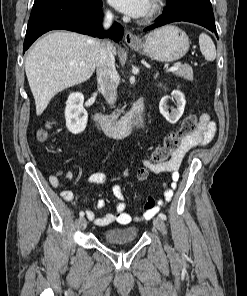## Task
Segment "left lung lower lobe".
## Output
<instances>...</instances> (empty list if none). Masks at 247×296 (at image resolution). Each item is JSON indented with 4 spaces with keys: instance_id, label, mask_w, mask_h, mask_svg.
<instances>
[{
    "instance_id": "obj_1",
    "label": "left lung lower lobe",
    "mask_w": 247,
    "mask_h": 296,
    "mask_svg": "<svg viewBox=\"0 0 247 296\" xmlns=\"http://www.w3.org/2000/svg\"><path fill=\"white\" fill-rule=\"evenodd\" d=\"M178 21L199 24L214 32L218 38L210 0H182L175 4L167 2L163 14L158 17V22L144 31Z\"/></svg>"
}]
</instances>
